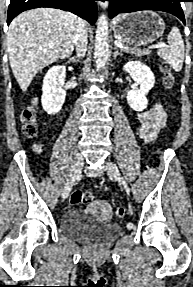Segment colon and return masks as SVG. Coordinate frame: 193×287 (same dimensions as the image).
Segmentation results:
<instances>
[{
	"mask_svg": "<svg viewBox=\"0 0 193 287\" xmlns=\"http://www.w3.org/2000/svg\"><path fill=\"white\" fill-rule=\"evenodd\" d=\"M162 70L165 74L164 85L167 88H170L173 84V76L171 70L167 64L162 65ZM22 122H23V132L29 137L33 138L38 132L36 125V113L33 107H28L22 112ZM93 200V195L90 192H85L82 190H75L71 195V202L73 204H88ZM115 214L119 218L125 216V209L123 207H117Z\"/></svg>",
	"mask_w": 193,
	"mask_h": 287,
	"instance_id": "1",
	"label": "colon"
}]
</instances>
